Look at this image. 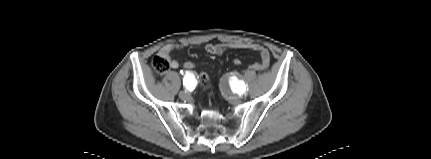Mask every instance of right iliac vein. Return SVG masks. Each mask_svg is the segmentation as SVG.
I'll return each instance as SVG.
<instances>
[{"instance_id": "obj_1", "label": "right iliac vein", "mask_w": 431, "mask_h": 159, "mask_svg": "<svg viewBox=\"0 0 431 159\" xmlns=\"http://www.w3.org/2000/svg\"><path fill=\"white\" fill-rule=\"evenodd\" d=\"M179 97H180L182 100L188 99V97H189V92H188L187 90H183V91H181V92L179 93Z\"/></svg>"}]
</instances>
